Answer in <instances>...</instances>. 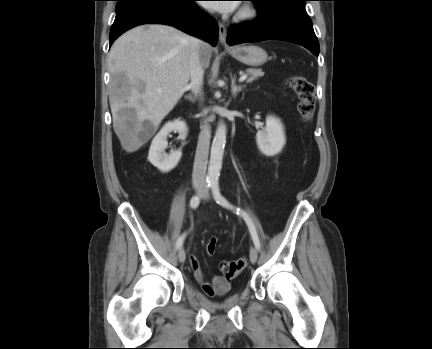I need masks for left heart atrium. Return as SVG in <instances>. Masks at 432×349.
Masks as SVG:
<instances>
[{"mask_svg": "<svg viewBox=\"0 0 432 349\" xmlns=\"http://www.w3.org/2000/svg\"><path fill=\"white\" fill-rule=\"evenodd\" d=\"M206 7L214 9L221 13H230L238 7L237 1H224L215 3H206Z\"/></svg>", "mask_w": 432, "mask_h": 349, "instance_id": "left-heart-atrium-1", "label": "left heart atrium"}]
</instances>
